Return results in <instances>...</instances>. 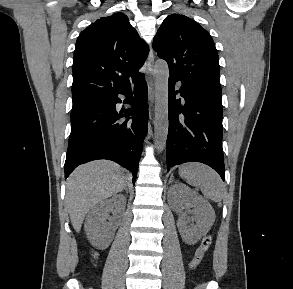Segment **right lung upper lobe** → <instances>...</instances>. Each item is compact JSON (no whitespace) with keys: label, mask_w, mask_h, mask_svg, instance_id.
Segmentation results:
<instances>
[{"label":"right lung upper lobe","mask_w":293,"mask_h":289,"mask_svg":"<svg viewBox=\"0 0 293 289\" xmlns=\"http://www.w3.org/2000/svg\"><path fill=\"white\" fill-rule=\"evenodd\" d=\"M149 49L123 13L100 18L77 38L73 58V104L101 101L131 87Z\"/></svg>","instance_id":"obj_1"}]
</instances>
